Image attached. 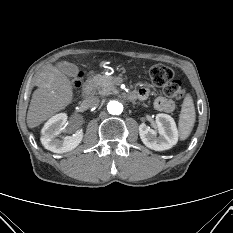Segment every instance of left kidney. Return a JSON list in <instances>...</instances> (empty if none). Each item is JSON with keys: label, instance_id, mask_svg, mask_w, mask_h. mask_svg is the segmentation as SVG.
<instances>
[{"label": "left kidney", "instance_id": "obj_1", "mask_svg": "<svg viewBox=\"0 0 233 233\" xmlns=\"http://www.w3.org/2000/svg\"><path fill=\"white\" fill-rule=\"evenodd\" d=\"M157 132L142 123L139 126V135L145 146L155 151H164L172 148L178 142V130L174 119L167 114L156 115Z\"/></svg>", "mask_w": 233, "mask_h": 233}]
</instances>
